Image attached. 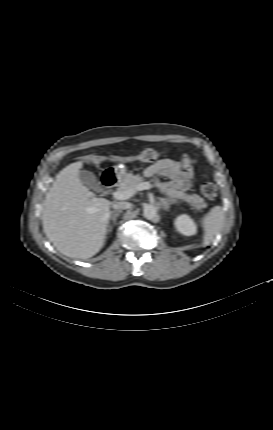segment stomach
I'll return each mask as SVG.
<instances>
[{
    "label": "stomach",
    "mask_w": 273,
    "mask_h": 430,
    "mask_svg": "<svg viewBox=\"0 0 273 430\" xmlns=\"http://www.w3.org/2000/svg\"><path fill=\"white\" fill-rule=\"evenodd\" d=\"M115 171L120 175L123 176L126 169L124 167H121L120 165L115 167Z\"/></svg>",
    "instance_id": "obj_1"
}]
</instances>
